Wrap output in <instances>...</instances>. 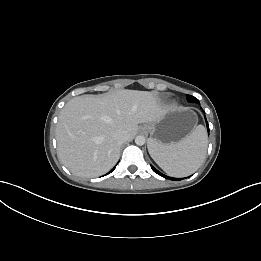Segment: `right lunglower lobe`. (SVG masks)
Here are the masks:
<instances>
[{
	"label": "right lung lower lobe",
	"instance_id": "right-lung-lower-lobe-1",
	"mask_svg": "<svg viewBox=\"0 0 261 261\" xmlns=\"http://www.w3.org/2000/svg\"><path fill=\"white\" fill-rule=\"evenodd\" d=\"M114 169H115V167H114L109 173H111L112 171H114ZM109 173H108V174H109Z\"/></svg>",
	"mask_w": 261,
	"mask_h": 261
}]
</instances>
